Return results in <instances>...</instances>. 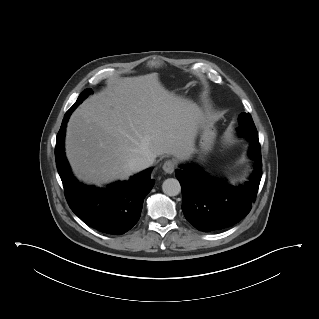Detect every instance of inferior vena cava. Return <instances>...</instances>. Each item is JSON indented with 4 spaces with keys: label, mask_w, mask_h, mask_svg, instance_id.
I'll list each match as a JSON object with an SVG mask.
<instances>
[{
    "label": "inferior vena cava",
    "mask_w": 319,
    "mask_h": 319,
    "mask_svg": "<svg viewBox=\"0 0 319 319\" xmlns=\"http://www.w3.org/2000/svg\"><path fill=\"white\" fill-rule=\"evenodd\" d=\"M154 159L153 157H137L129 163V168L133 172H139L150 167Z\"/></svg>",
    "instance_id": "602c4592"
}]
</instances>
